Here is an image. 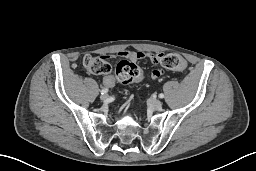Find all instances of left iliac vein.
I'll use <instances>...</instances> for the list:
<instances>
[{
	"mask_svg": "<svg viewBox=\"0 0 256 171\" xmlns=\"http://www.w3.org/2000/svg\"><path fill=\"white\" fill-rule=\"evenodd\" d=\"M149 104L151 108H153L154 110H160L162 107V102L158 99H151L149 101Z\"/></svg>",
	"mask_w": 256,
	"mask_h": 171,
	"instance_id": "4c4485c4",
	"label": "left iliac vein"
}]
</instances>
